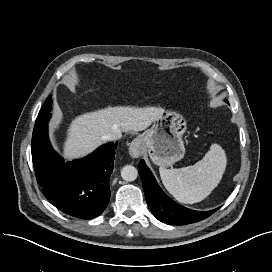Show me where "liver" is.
I'll return each instance as SVG.
<instances>
[{"mask_svg": "<svg viewBox=\"0 0 272 272\" xmlns=\"http://www.w3.org/2000/svg\"><path fill=\"white\" fill-rule=\"evenodd\" d=\"M164 110L158 107L108 106L75 117L66 132L63 156L76 159L94 151L104 136L119 129L121 132H138L148 128Z\"/></svg>", "mask_w": 272, "mask_h": 272, "instance_id": "6515ba94", "label": "liver"}]
</instances>
